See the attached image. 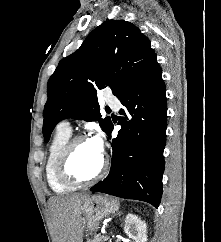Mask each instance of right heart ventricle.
I'll return each mask as SVG.
<instances>
[{
    "instance_id": "1",
    "label": "right heart ventricle",
    "mask_w": 221,
    "mask_h": 242,
    "mask_svg": "<svg viewBox=\"0 0 221 242\" xmlns=\"http://www.w3.org/2000/svg\"><path fill=\"white\" fill-rule=\"evenodd\" d=\"M70 137L71 133L57 129L47 149L45 177L49 188L55 193H66L72 191L75 187L64 183L57 175V163L60 154Z\"/></svg>"
}]
</instances>
